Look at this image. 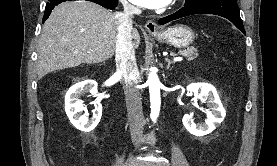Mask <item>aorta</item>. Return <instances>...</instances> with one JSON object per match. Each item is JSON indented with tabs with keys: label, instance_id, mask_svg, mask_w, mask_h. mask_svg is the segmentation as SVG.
<instances>
[{
	"label": "aorta",
	"instance_id": "762f6f07",
	"mask_svg": "<svg viewBox=\"0 0 277 166\" xmlns=\"http://www.w3.org/2000/svg\"><path fill=\"white\" fill-rule=\"evenodd\" d=\"M148 84L150 92V103H151V114L150 117L153 122H155L159 116L161 98H160V88L161 83L155 69H151L148 75Z\"/></svg>",
	"mask_w": 277,
	"mask_h": 166
}]
</instances>
